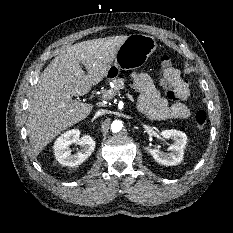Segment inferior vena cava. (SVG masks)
I'll list each match as a JSON object with an SVG mask.
<instances>
[{
    "mask_svg": "<svg viewBox=\"0 0 233 233\" xmlns=\"http://www.w3.org/2000/svg\"><path fill=\"white\" fill-rule=\"evenodd\" d=\"M105 113H107V111L101 109V110H99L96 114H97V116H99V115H103V114H105Z\"/></svg>",
    "mask_w": 233,
    "mask_h": 233,
    "instance_id": "obj_1",
    "label": "inferior vena cava"
}]
</instances>
